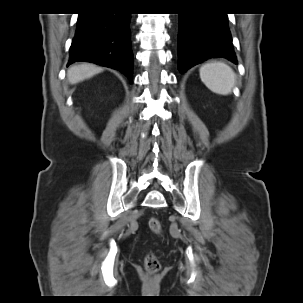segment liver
Segmentation results:
<instances>
[{
	"mask_svg": "<svg viewBox=\"0 0 303 303\" xmlns=\"http://www.w3.org/2000/svg\"><path fill=\"white\" fill-rule=\"evenodd\" d=\"M103 69L93 64L85 63L71 66L67 71V79L70 84L79 83L85 79L102 72Z\"/></svg>",
	"mask_w": 303,
	"mask_h": 303,
	"instance_id": "6515ba94",
	"label": "liver"
}]
</instances>
